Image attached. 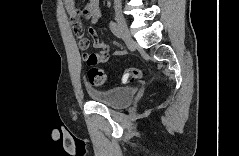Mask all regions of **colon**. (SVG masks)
<instances>
[{"label": "colon", "instance_id": "5ec220e1", "mask_svg": "<svg viewBox=\"0 0 239 156\" xmlns=\"http://www.w3.org/2000/svg\"><path fill=\"white\" fill-rule=\"evenodd\" d=\"M82 15L83 14L80 13L78 16L82 17ZM141 76H142V72L139 68L131 67L122 72L121 81L123 83H127L130 81L137 80V79L141 78ZM106 77H107L106 73L102 69L97 68L95 66H92L88 71V80H89L90 84H92V85H97V84L103 83L105 81Z\"/></svg>", "mask_w": 239, "mask_h": 156}]
</instances>
